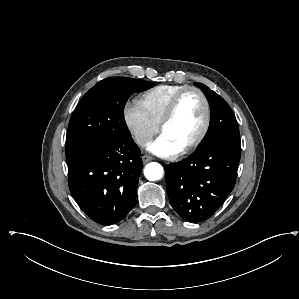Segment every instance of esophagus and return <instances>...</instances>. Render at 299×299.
<instances>
[{
  "instance_id": "1",
  "label": "esophagus",
  "mask_w": 299,
  "mask_h": 299,
  "mask_svg": "<svg viewBox=\"0 0 299 299\" xmlns=\"http://www.w3.org/2000/svg\"><path fill=\"white\" fill-rule=\"evenodd\" d=\"M151 160H153V158L149 155H143L142 156V161H143L144 164L148 163Z\"/></svg>"
}]
</instances>
